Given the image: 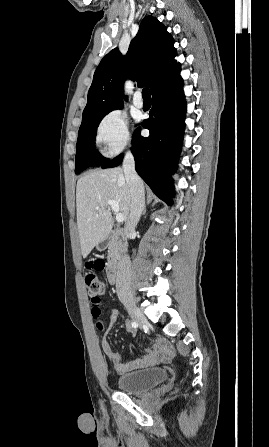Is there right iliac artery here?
<instances>
[{"label": "right iliac artery", "mask_w": 269, "mask_h": 447, "mask_svg": "<svg viewBox=\"0 0 269 447\" xmlns=\"http://www.w3.org/2000/svg\"><path fill=\"white\" fill-rule=\"evenodd\" d=\"M132 326H133V327H137L138 324H137L136 322H132Z\"/></svg>", "instance_id": "right-iliac-artery-1"}]
</instances>
